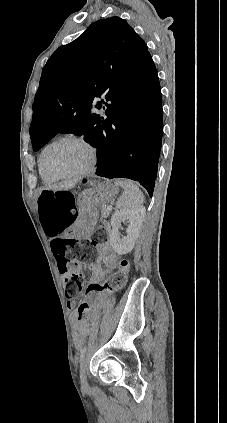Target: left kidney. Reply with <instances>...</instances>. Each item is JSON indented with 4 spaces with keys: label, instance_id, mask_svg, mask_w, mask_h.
Here are the masks:
<instances>
[{
    "label": "left kidney",
    "instance_id": "5707ae66",
    "mask_svg": "<svg viewBox=\"0 0 227 423\" xmlns=\"http://www.w3.org/2000/svg\"><path fill=\"white\" fill-rule=\"evenodd\" d=\"M145 208H137V210H116L111 217L112 229L109 233V241L112 249L122 255V253H129L135 245L138 237L139 229L145 217ZM122 221L128 223L126 227L127 235L121 237L119 227H122Z\"/></svg>",
    "mask_w": 227,
    "mask_h": 423
}]
</instances>
